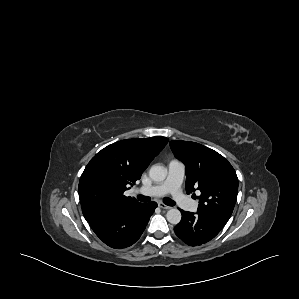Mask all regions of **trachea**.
I'll return each mask as SVG.
<instances>
[{
	"mask_svg": "<svg viewBox=\"0 0 299 299\" xmlns=\"http://www.w3.org/2000/svg\"><path fill=\"white\" fill-rule=\"evenodd\" d=\"M138 200L141 201V202H148L150 201V198L149 197H146V196H143V195H138L137 196ZM163 202L168 205V206H174L176 203L170 199V198H165L163 199Z\"/></svg>",
	"mask_w": 299,
	"mask_h": 299,
	"instance_id": "1",
	"label": "trachea"
}]
</instances>
